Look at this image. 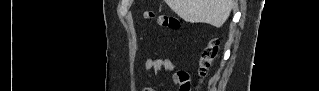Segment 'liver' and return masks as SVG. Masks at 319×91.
<instances>
[{
    "instance_id": "1",
    "label": "liver",
    "mask_w": 319,
    "mask_h": 91,
    "mask_svg": "<svg viewBox=\"0 0 319 91\" xmlns=\"http://www.w3.org/2000/svg\"><path fill=\"white\" fill-rule=\"evenodd\" d=\"M168 6L183 20L191 23H207L217 28L228 19L234 0H165Z\"/></svg>"
}]
</instances>
